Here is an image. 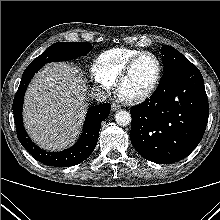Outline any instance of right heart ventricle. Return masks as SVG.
Instances as JSON below:
<instances>
[{
    "label": "right heart ventricle",
    "instance_id": "e07e8e85",
    "mask_svg": "<svg viewBox=\"0 0 220 220\" xmlns=\"http://www.w3.org/2000/svg\"><path fill=\"white\" fill-rule=\"evenodd\" d=\"M141 51L140 49L125 47L109 49L99 55L95 63L97 71L112 85L126 63Z\"/></svg>",
    "mask_w": 220,
    "mask_h": 220
}]
</instances>
